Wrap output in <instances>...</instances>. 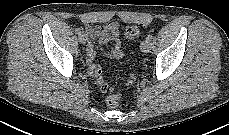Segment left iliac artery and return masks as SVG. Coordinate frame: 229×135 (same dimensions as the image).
<instances>
[{
    "label": "left iliac artery",
    "instance_id": "left-iliac-artery-1",
    "mask_svg": "<svg viewBox=\"0 0 229 135\" xmlns=\"http://www.w3.org/2000/svg\"><path fill=\"white\" fill-rule=\"evenodd\" d=\"M146 39L149 40V41H151L152 35L151 34L147 35Z\"/></svg>",
    "mask_w": 229,
    "mask_h": 135
}]
</instances>
